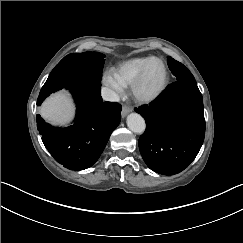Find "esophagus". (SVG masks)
Here are the masks:
<instances>
[{
  "label": "esophagus",
  "instance_id": "34e87169",
  "mask_svg": "<svg viewBox=\"0 0 243 243\" xmlns=\"http://www.w3.org/2000/svg\"><path fill=\"white\" fill-rule=\"evenodd\" d=\"M132 108L130 105H123L122 111H121V115L122 117H125L129 112H131Z\"/></svg>",
  "mask_w": 243,
  "mask_h": 243
}]
</instances>
